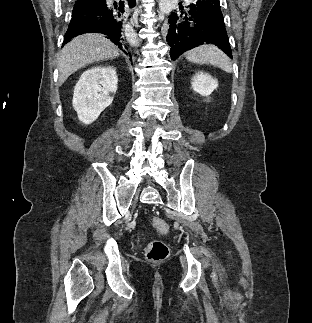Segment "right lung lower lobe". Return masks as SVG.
I'll return each mask as SVG.
<instances>
[{
    "mask_svg": "<svg viewBox=\"0 0 312 323\" xmlns=\"http://www.w3.org/2000/svg\"><path fill=\"white\" fill-rule=\"evenodd\" d=\"M135 3L136 0H117L114 3L106 0H76L63 45L84 33H101L131 57L122 48L127 49L124 43L126 19Z\"/></svg>",
    "mask_w": 312,
    "mask_h": 323,
    "instance_id": "1",
    "label": "right lung lower lobe"
}]
</instances>
